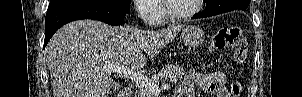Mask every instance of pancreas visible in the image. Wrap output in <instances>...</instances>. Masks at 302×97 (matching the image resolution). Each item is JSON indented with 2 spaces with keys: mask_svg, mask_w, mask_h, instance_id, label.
<instances>
[{
  "mask_svg": "<svg viewBox=\"0 0 302 97\" xmlns=\"http://www.w3.org/2000/svg\"><path fill=\"white\" fill-rule=\"evenodd\" d=\"M185 75V69L180 66L166 65L161 69L155 77L151 78V81L155 83L162 82L164 80H169L171 82H176ZM152 93L143 86H138L137 97H151Z\"/></svg>",
  "mask_w": 302,
  "mask_h": 97,
  "instance_id": "pancreas-1",
  "label": "pancreas"
}]
</instances>
